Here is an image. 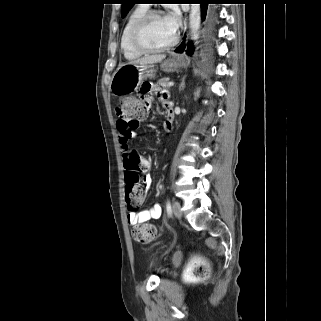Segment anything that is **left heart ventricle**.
Returning a JSON list of instances; mask_svg holds the SVG:
<instances>
[{
	"label": "left heart ventricle",
	"instance_id": "1",
	"mask_svg": "<svg viewBox=\"0 0 321 321\" xmlns=\"http://www.w3.org/2000/svg\"><path fill=\"white\" fill-rule=\"evenodd\" d=\"M175 31L168 25L163 16L151 18L142 31V41L149 47H161L168 44Z\"/></svg>",
	"mask_w": 321,
	"mask_h": 321
}]
</instances>
